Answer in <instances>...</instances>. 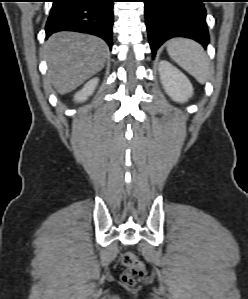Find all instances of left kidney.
I'll list each match as a JSON object with an SVG mask.
<instances>
[{"label": "left kidney", "instance_id": "obj_1", "mask_svg": "<svg viewBox=\"0 0 248 299\" xmlns=\"http://www.w3.org/2000/svg\"><path fill=\"white\" fill-rule=\"evenodd\" d=\"M159 73L166 93L176 102H186L193 95L189 79L167 61L159 63Z\"/></svg>", "mask_w": 248, "mask_h": 299}]
</instances>
